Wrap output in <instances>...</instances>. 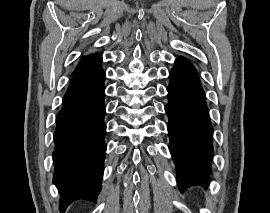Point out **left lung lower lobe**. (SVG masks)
I'll return each mask as SVG.
<instances>
[{
  "label": "left lung lower lobe",
  "mask_w": 270,
  "mask_h": 213,
  "mask_svg": "<svg viewBox=\"0 0 270 213\" xmlns=\"http://www.w3.org/2000/svg\"><path fill=\"white\" fill-rule=\"evenodd\" d=\"M167 126L169 149L177 167L178 188L209 185L213 127L205 94L192 64H175L169 72Z\"/></svg>",
  "instance_id": "obj_1"
}]
</instances>
